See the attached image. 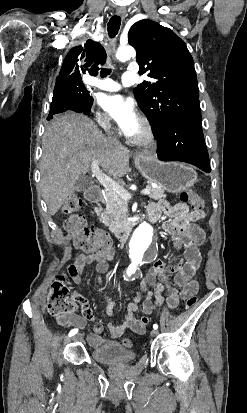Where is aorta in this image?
Masks as SVG:
<instances>
[{
    "instance_id": "aorta-1",
    "label": "aorta",
    "mask_w": 247,
    "mask_h": 413,
    "mask_svg": "<svg viewBox=\"0 0 247 413\" xmlns=\"http://www.w3.org/2000/svg\"><path fill=\"white\" fill-rule=\"evenodd\" d=\"M135 55V49L131 46L119 47L116 52V58L121 62L129 60L131 57H134ZM151 236L152 227L146 222L140 224L137 230L135 231L134 239L138 240V245L133 249L132 252V259L134 263L133 267H135L138 263L141 262L142 255L146 248V243L150 241Z\"/></svg>"
}]
</instances>
